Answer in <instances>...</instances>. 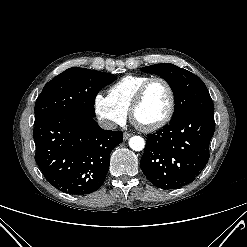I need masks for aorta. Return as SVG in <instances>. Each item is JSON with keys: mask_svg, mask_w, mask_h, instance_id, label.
<instances>
[{"mask_svg": "<svg viewBox=\"0 0 247 247\" xmlns=\"http://www.w3.org/2000/svg\"><path fill=\"white\" fill-rule=\"evenodd\" d=\"M129 146L134 151H141L145 147V141L140 136H133L129 140Z\"/></svg>", "mask_w": 247, "mask_h": 247, "instance_id": "obj_1", "label": "aorta"}]
</instances>
